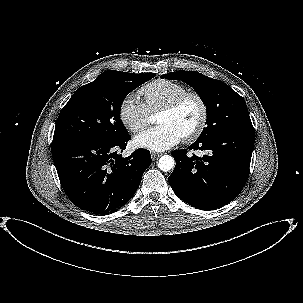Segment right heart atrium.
Segmentation results:
<instances>
[{
  "label": "right heart atrium",
  "mask_w": 303,
  "mask_h": 303,
  "mask_svg": "<svg viewBox=\"0 0 303 303\" xmlns=\"http://www.w3.org/2000/svg\"><path fill=\"white\" fill-rule=\"evenodd\" d=\"M149 116L145 103L134 94L126 95L119 105L120 120L133 133H138L147 126Z\"/></svg>",
  "instance_id": "1"
}]
</instances>
